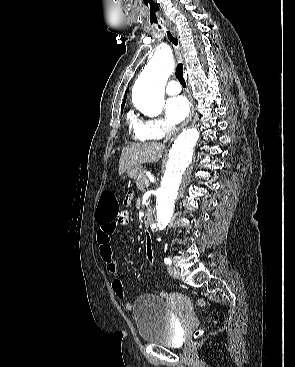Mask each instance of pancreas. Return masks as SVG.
Segmentation results:
<instances>
[{
  "label": "pancreas",
  "instance_id": "pancreas-1",
  "mask_svg": "<svg viewBox=\"0 0 295 367\" xmlns=\"http://www.w3.org/2000/svg\"><path fill=\"white\" fill-rule=\"evenodd\" d=\"M146 180H147V177H146L145 173L142 172L141 175L136 180V185H137V188L139 190H141V191L144 190V184H145Z\"/></svg>",
  "mask_w": 295,
  "mask_h": 367
}]
</instances>
